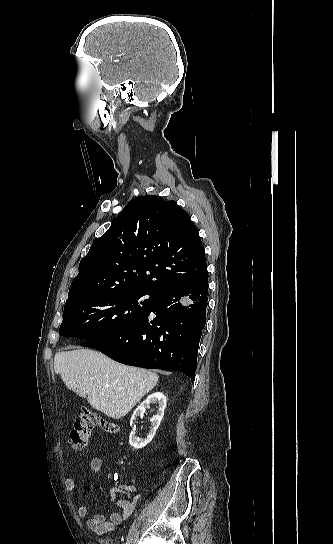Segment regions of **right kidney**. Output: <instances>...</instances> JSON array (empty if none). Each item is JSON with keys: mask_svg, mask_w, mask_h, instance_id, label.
Wrapping results in <instances>:
<instances>
[{"mask_svg": "<svg viewBox=\"0 0 333 544\" xmlns=\"http://www.w3.org/2000/svg\"><path fill=\"white\" fill-rule=\"evenodd\" d=\"M166 397L162 392H154L150 394L146 400H144L133 412L132 420H134L136 417H143L144 413L146 411V408L149 406L150 403H156L158 404V411L155 416H153L150 419L151 422V429L147 435V437L142 440L139 437L136 436L135 431H131L129 436V444L134 447L135 449H140L146 446L150 441H152L153 437L155 436L156 430L158 429L161 420L164 416V410L166 408Z\"/></svg>", "mask_w": 333, "mask_h": 544, "instance_id": "right-kidney-1", "label": "right kidney"}]
</instances>
